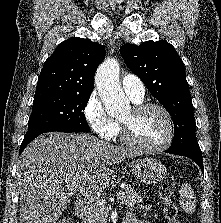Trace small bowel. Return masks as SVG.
Masks as SVG:
<instances>
[{
    "label": "small bowel",
    "instance_id": "c3829d8e",
    "mask_svg": "<svg viewBox=\"0 0 221 223\" xmlns=\"http://www.w3.org/2000/svg\"><path fill=\"white\" fill-rule=\"evenodd\" d=\"M126 223H149V222L144 219H137L134 215L129 214L126 217Z\"/></svg>",
    "mask_w": 221,
    "mask_h": 223
}]
</instances>
